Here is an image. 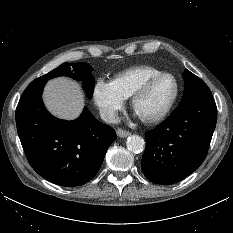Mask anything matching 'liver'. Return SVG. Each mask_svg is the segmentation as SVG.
<instances>
[{
    "label": "liver",
    "mask_w": 233,
    "mask_h": 233,
    "mask_svg": "<svg viewBox=\"0 0 233 233\" xmlns=\"http://www.w3.org/2000/svg\"><path fill=\"white\" fill-rule=\"evenodd\" d=\"M45 104L56 117L76 119L83 110L84 96L79 85L65 77L50 80L45 87Z\"/></svg>",
    "instance_id": "1"
}]
</instances>
